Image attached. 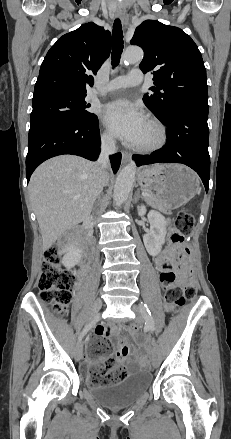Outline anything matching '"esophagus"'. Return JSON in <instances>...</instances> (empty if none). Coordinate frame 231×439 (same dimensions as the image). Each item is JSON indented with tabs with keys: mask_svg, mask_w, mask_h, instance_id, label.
<instances>
[{
	"mask_svg": "<svg viewBox=\"0 0 231 439\" xmlns=\"http://www.w3.org/2000/svg\"><path fill=\"white\" fill-rule=\"evenodd\" d=\"M124 10L122 7L117 8L115 11V17L121 20H124ZM131 158V154L129 152H122V162L127 163Z\"/></svg>",
	"mask_w": 231,
	"mask_h": 439,
	"instance_id": "obj_1",
	"label": "esophagus"
}]
</instances>
